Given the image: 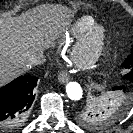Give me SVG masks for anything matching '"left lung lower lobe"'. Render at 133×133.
Segmentation results:
<instances>
[{"instance_id":"0a47b994","label":"left lung lower lobe","mask_w":133,"mask_h":133,"mask_svg":"<svg viewBox=\"0 0 133 133\" xmlns=\"http://www.w3.org/2000/svg\"><path fill=\"white\" fill-rule=\"evenodd\" d=\"M118 89H122V88H121V87H114V88H113V90H118ZM116 108H117V109H122V110H123L124 107H123V105L117 104V105H116ZM102 123H104V122H102Z\"/></svg>"}]
</instances>
